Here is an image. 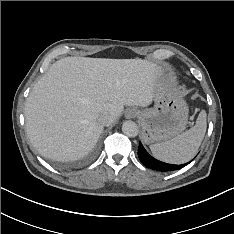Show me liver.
Listing matches in <instances>:
<instances>
[{
	"instance_id": "1",
	"label": "liver",
	"mask_w": 234,
	"mask_h": 234,
	"mask_svg": "<svg viewBox=\"0 0 234 234\" xmlns=\"http://www.w3.org/2000/svg\"><path fill=\"white\" fill-rule=\"evenodd\" d=\"M159 74V66L142 59L66 57L56 61L26 100L30 142L41 155L58 161L87 155L104 129L99 116L107 112L114 121L125 105H150Z\"/></svg>"
}]
</instances>
